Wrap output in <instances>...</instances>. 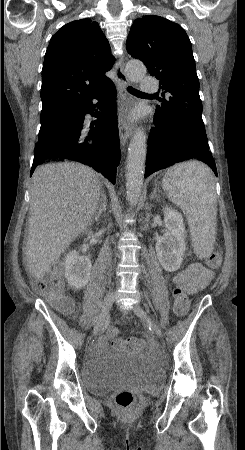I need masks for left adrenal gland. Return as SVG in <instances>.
Segmentation results:
<instances>
[{"instance_id":"obj_1","label":"left adrenal gland","mask_w":245,"mask_h":450,"mask_svg":"<svg viewBox=\"0 0 245 450\" xmlns=\"http://www.w3.org/2000/svg\"><path fill=\"white\" fill-rule=\"evenodd\" d=\"M156 197H157V188L155 187L154 190H153V193L150 196V198L153 199V198H156Z\"/></svg>"}]
</instances>
